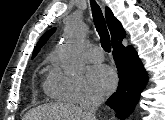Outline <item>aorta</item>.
Wrapping results in <instances>:
<instances>
[{"mask_svg":"<svg viewBox=\"0 0 165 120\" xmlns=\"http://www.w3.org/2000/svg\"><path fill=\"white\" fill-rule=\"evenodd\" d=\"M84 41L85 28L80 19L73 18L66 27L59 52L61 63L69 74H75L83 67Z\"/></svg>","mask_w":165,"mask_h":120,"instance_id":"aorta-1","label":"aorta"}]
</instances>
